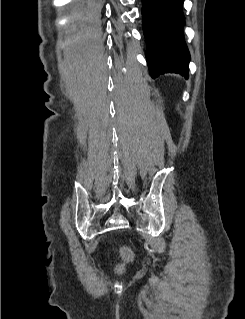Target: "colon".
Returning <instances> with one entry per match:
<instances>
[{"mask_svg":"<svg viewBox=\"0 0 245 319\" xmlns=\"http://www.w3.org/2000/svg\"><path fill=\"white\" fill-rule=\"evenodd\" d=\"M122 254L128 259L132 258V253L129 250H127V249L123 250Z\"/></svg>","mask_w":245,"mask_h":319,"instance_id":"5ec220e1","label":"colon"}]
</instances>
